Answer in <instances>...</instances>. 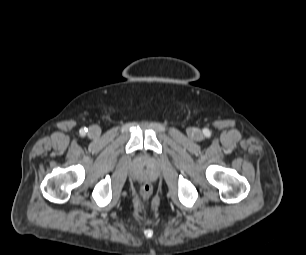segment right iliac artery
I'll use <instances>...</instances> for the list:
<instances>
[{
    "mask_svg": "<svg viewBox=\"0 0 306 255\" xmlns=\"http://www.w3.org/2000/svg\"><path fill=\"white\" fill-rule=\"evenodd\" d=\"M86 132H87V129H86V128H83V129L80 130V134H81L82 136H84V135L86 134Z\"/></svg>",
    "mask_w": 306,
    "mask_h": 255,
    "instance_id": "82829eb1",
    "label": "right iliac artery"
}]
</instances>
